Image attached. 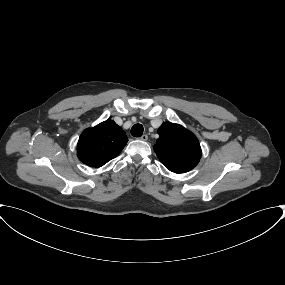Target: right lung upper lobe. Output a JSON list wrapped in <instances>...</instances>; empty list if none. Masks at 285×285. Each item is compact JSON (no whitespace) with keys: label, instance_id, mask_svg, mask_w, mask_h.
Segmentation results:
<instances>
[{"label":"right lung upper lobe","instance_id":"right-lung-upper-lobe-1","mask_svg":"<svg viewBox=\"0 0 285 285\" xmlns=\"http://www.w3.org/2000/svg\"><path fill=\"white\" fill-rule=\"evenodd\" d=\"M127 142L126 133L108 119L82 132L77 144V156L84 164L99 168L117 157Z\"/></svg>","mask_w":285,"mask_h":285}]
</instances>
